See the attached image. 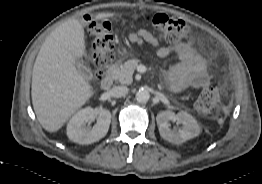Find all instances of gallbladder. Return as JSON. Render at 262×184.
I'll use <instances>...</instances> for the list:
<instances>
[{"label":"gallbladder","mask_w":262,"mask_h":184,"mask_svg":"<svg viewBox=\"0 0 262 184\" xmlns=\"http://www.w3.org/2000/svg\"><path fill=\"white\" fill-rule=\"evenodd\" d=\"M75 67L78 71V73L86 80H89L91 78V71L89 68H87L81 61L75 62Z\"/></svg>","instance_id":"1"}]
</instances>
